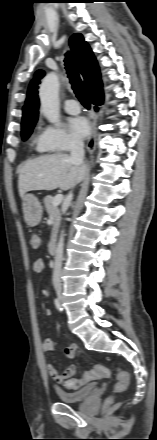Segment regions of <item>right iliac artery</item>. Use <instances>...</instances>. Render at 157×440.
I'll use <instances>...</instances> for the list:
<instances>
[{"instance_id": "82829eb1", "label": "right iliac artery", "mask_w": 157, "mask_h": 440, "mask_svg": "<svg viewBox=\"0 0 157 440\" xmlns=\"http://www.w3.org/2000/svg\"><path fill=\"white\" fill-rule=\"evenodd\" d=\"M54 304L59 311H62V307L58 299H54Z\"/></svg>"}]
</instances>
